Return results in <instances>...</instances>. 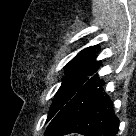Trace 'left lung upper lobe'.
<instances>
[{
    "label": "left lung upper lobe",
    "instance_id": "left-lung-upper-lobe-1",
    "mask_svg": "<svg viewBox=\"0 0 136 136\" xmlns=\"http://www.w3.org/2000/svg\"><path fill=\"white\" fill-rule=\"evenodd\" d=\"M96 46L82 50L67 64V76L55 95L47 118L51 120L77 93L84 83L96 72L98 61L94 60Z\"/></svg>",
    "mask_w": 136,
    "mask_h": 136
}]
</instances>
